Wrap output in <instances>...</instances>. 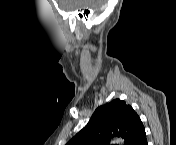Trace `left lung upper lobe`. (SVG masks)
<instances>
[{
    "label": "left lung upper lobe",
    "mask_w": 176,
    "mask_h": 145,
    "mask_svg": "<svg viewBox=\"0 0 176 145\" xmlns=\"http://www.w3.org/2000/svg\"><path fill=\"white\" fill-rule=\"evenodd\" d=\"M144 132L134 109L115 99L98 107L88 124L67 145H108L112 136L122 137L125 145H135Z\"/></svg>",
    "instance_id": "obj_1"
}]
</instances>
